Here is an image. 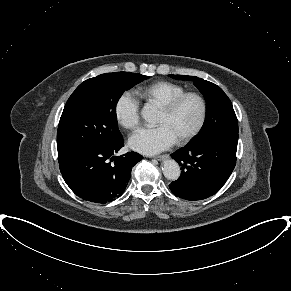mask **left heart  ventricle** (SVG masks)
<instances>
[{
    "instance_id": "b2bd125f",
    "label": "left heart ventricle",
    "mask_w": 291,
    "mask_h": 291,
    "mask_svg": "<svg viewBox=\"0 0 291 291\" xmlns=\"http://www.w3.org/2000/svg\"><path fill=\"white\" fill-rule=\"evenodd\" d=\"M200 114V106L196 99H185L170 114L160 111L157 124L167 126L176 140L187 135L196 125Z\"/></svg>"
}]
</instances>
